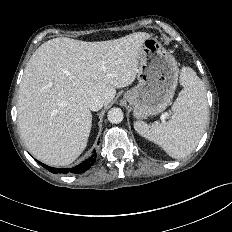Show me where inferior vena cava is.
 <instances>
[{
    "mask_svg": "<svg viewBox=\"0 0 232 232\" xmlns=\"http://www.w3.org/2000/svg\"><path fill=\"white\" fill-rule=\"evenodd\" d=\"M88 107L92 111H98L103 107V100L100 96H92L88 100Z\"/></svg>",
    "mask_w": 232,
    "mask_h": 232,
    "instance_id": "602c4592",
    "label": "inferior vena cava"
}]
</instances>
